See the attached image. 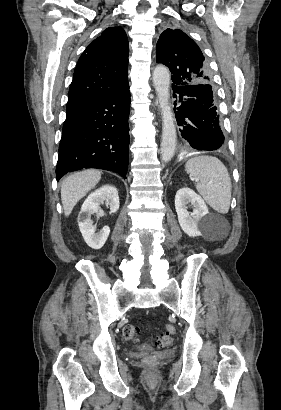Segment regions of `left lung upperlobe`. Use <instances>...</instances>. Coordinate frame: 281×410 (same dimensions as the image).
Returning a JSON list of instances; mask_svg holds the SVG:
<instances>
[{
	"instance_id": "1",
	"label": "left lung upper lobe",
	"mask_w": 281,
	"mask_h": 410,
	"mask_svg": "<svg viewBox=\"0 0 281 410\" xmlns=\"http://www.w3.org/2000/svg\"><path fill=\"white\" fill-rule=\"evenodd\" d=\"M156 61L171 71L172 85L212 84L208 64L198 45L179 29H166L156 45Z\"/></svg>"
}]
</instances>
